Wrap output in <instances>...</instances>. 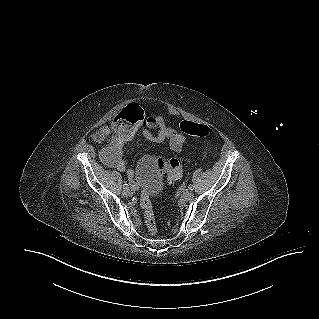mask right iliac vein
<instances>
[{
  "instance_id": "1",
  "label": "right iliac vein",
  "mask_w": 319,
  "mask_h": 319,
  "mask_svg": "<svg viewBox=\"0 0 319 319\" xmlns=\"http://www.w3.org/2000/svg\"><path fill=\"white\" fill-rule=\"evenodd\" d=\"M123 195H124L125 197H129V196L131 195L130 189H129V188H124V190H123Z\"/></svg>"
}]
</instances>
